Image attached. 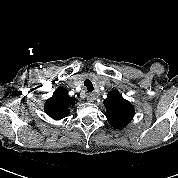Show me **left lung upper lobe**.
Returning <instances> with one entry per match:
<instances>
[{"label":"left lung upper lobe","instance_id":"1","mask_svg":"<svg viewBox=\"0 0 178 178\" xmlns=\"http://www.w3.org/2000/svg\"><path fill=\"white\" fill-rule=\"evenodd\" d=\"M104 106L109 123L117 129L126 126L135 115L133 105L125 100L117 90L108 93Z\"/></svg>","mask_w":178,"mask_h":178}]
</instances>
